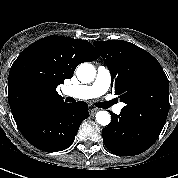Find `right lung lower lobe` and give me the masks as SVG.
Instances as JSON below:
<instances>
[{
    "label": "right lung lower lobe",
    "mask_w": 178,
    "mask_h": 178,
    "mask_svg": "<svg viewBox=\"0 0 178 178\" xmlns=\"http://www.w3.org/2000/svg\"><path fill=\"white\" fill-rule=\"evenodd\" d=\"M89 117L88 104L82 101L30 110L15 122L22 135L36 148L57 152L74 141L81 122Z\"/></svg>",
    "instance_id": "obj_1"
}]
</instances>
